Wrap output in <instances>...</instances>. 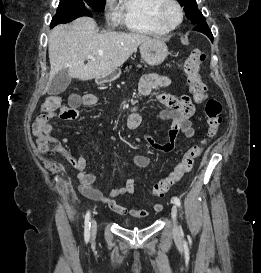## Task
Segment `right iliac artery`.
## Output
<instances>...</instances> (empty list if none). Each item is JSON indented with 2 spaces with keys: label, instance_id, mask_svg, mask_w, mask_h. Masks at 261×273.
Wrapping results in <instances>:
<instances>
[{
  "label": "right iliac artery",
  "instance_id": "right-iliac-artery-1",
  "mask_svg": "<svg viewBox=\"0 0 261 273\" xmlns=\"http://www.w3.org/2000/svg\"><path fill=\"white\" fill-rule=\"evenodd\" d=\"M90 212L88 211L85 215V226H84V238L85 242L87 243L90 239Z\"/></svg>",
  "mask_w": 261,
  "mask_h": 273
}]
</instances>
